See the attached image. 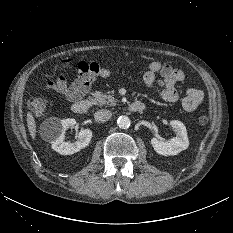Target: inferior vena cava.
I'll return each instance as SVG.
<instances>
[{
  "label": "inferior vena cava",
  "mask_w": 233,
  "mask_h": 233,
  "mask_svg": "<svg viewBox=\"0 0 233 233\" xmlns=\"http://www.w3.org/2000/svg\"><path fill=\"white\" fill-rule=\"evenodd\" d=\"M111 116H112L111 111H109L107 109L98 110L94 114V118L98 122L108 121L111 118Z\"/></svg>",
  "instance_id": "inferior-vena-cava-1"
}]
</instances>
